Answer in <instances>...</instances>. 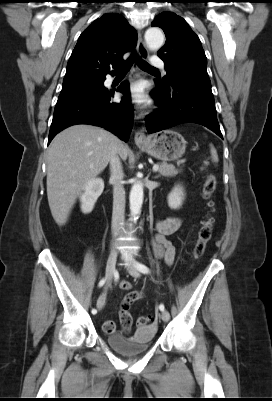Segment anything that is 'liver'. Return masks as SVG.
I'll list each match as a JSON object with an SVG mask.
<instances>
[{"mask_svg": "<svg viewBox=\"0 0 272 401\" xmlns=\"http://www.w3.org/2000/svg\"><path fill=\"white\" fill-rule=\"evenodd\" d=\"M115 150L127 158L128 146L100 127L74 125L56 135L47 155V197L58 225L67 222L84 185L107 167Z\"/></svg>", "mask_w": 272, "mask_h": 401, "instance_id": "liver-1", "label": "liver"}]
</instances>
